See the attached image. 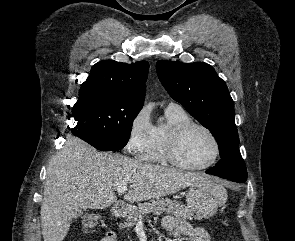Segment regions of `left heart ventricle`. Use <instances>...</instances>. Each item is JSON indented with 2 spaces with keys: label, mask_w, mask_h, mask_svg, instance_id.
<instances>
[{
  "label": "left heart ventricle",
  "mask_w": 295,
  "mask_h": 241,
  "mask_svg": "<svg viewBox=\"0 0 295 241\" xmlns=\"http://www.w3.org/2000/svg\"><path fill=\"white\" fill-rule=\"evenodd\" d=\"M214 144L211 138L201 129L192 128L187 131L177 147V155L190 165H202L214 155Z\"/></svg>",
  "instance_id": "1"
}]
</instances>
